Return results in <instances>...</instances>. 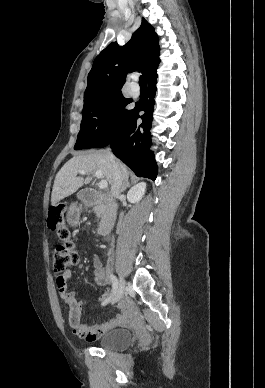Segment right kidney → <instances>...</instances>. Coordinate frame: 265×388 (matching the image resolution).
<instances>
[{
  "mask_svg": "<svg viewBox=\"0 0 265 388\" xmlns=\"http://www.w3.org/2000/svg\"><path fill=\"white\" fill-rule=\"evenodd\" d=\"M145 192H146L145 182H140V184H136V186H133V188H131V190H129L127 194L128 202H130V204H139Z\"/></svg>",
  "mask_w": 265,
  "mask_h": 388,
  "instance_id": "obj_1",
  "label": "right kidney"
}]
</instances>
